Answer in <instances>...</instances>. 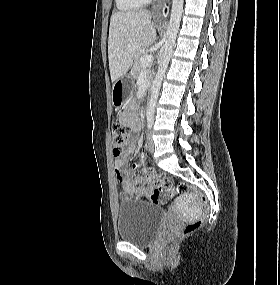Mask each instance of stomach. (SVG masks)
<instances>
[{"label":"stomach","instance_id":"obj_1","mask_svg":"<svg viewBox=\"0 0 280 285\" xmlns=\"http://www.w3.org/2000/svg\"><path fill=\"white\" fill-rule=\"evenodd\" d=\"M132 82V76L128 74L115 83L112 91V103L114 106H120L123 104L127 97V90L130 88Z\"/></svg>","mask_w":280,"mask_h":285}]
</instances>
